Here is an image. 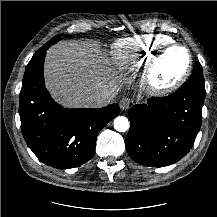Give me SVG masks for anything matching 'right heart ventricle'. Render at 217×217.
Wrapping results in <instances>:
<instances>
[{
	"mask_svg": "<svg viewBox=\"0 0 217 217\" xmlns=\"http://www.w3.org/2000/svg\"><path fill=\"white\" fill-rule=\"evenodd\" d=\"M166 35L155 34L117 40L112 46L114 61L123 68H134L150 61L158 50L171 44Z\"/></svg>",
	"mask_w": 217,
	"mask_h": 217,
	"instance_id": "obj_1",
	"label": "right heart ventricle"
}]
</instances>
